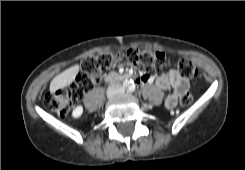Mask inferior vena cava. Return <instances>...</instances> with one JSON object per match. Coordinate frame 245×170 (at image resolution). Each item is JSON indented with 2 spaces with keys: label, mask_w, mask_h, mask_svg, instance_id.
Returning a JSON list of instances; mask_svg holds the SVG:
<instances>
[{
  "label": "inferior vena cava",
  "mask_w": 245,
  "mask_h": 170,
  "mask_svg": "<svg viewBox=\"0 0 245 170\" xmlns=\"http://www.w3.org/2000/svg\"><path fill=\"white\" fill-rule=\"evenodd\" d=\"M109 89L114 92V93H118L122 90V86L120 84H113L109 87Z\"/></svg>",
  "instance_id": "602c4592"
}]
</instances>
